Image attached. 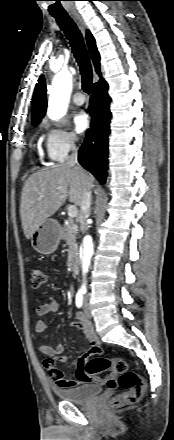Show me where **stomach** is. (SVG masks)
I'll use <instances>...</instances> for the list:
<instances>
[{"label": "stomach", "instance_id": "obj_1", "mask_svg": "<svg viewBox=\"0 0 174 440\" xmlns=\"http://www.w3.org/2000/svg\"><path fill=\"white\" fill-rule=\"evenodd\" d=\"M60 239L59 223L47 218L31 235V244L38 253L48 255L57 249Z\"/></svg>", "mask_w": 174, "mask_h": 440}]
</instances>
